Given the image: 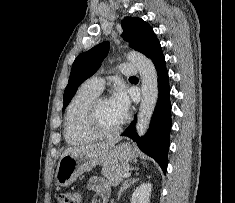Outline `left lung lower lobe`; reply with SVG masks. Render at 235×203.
I'll list each match as a JSON object with an SVG mask.
<instances>
[{
	"label": "left lung lower lobe",
	"mask_w": 235,
	"mask_h": 203,
	"mask_svg": "<svg viewBox=\"0 0 235 203\" xmlns=\"http://www.w3.org/2000/svg\"><path fill=\"white\" fill-rule=\"evenodd\" d=\"M157 70L159 98L156 104L147 134L139 138L135 121L131 122L122 136H127L137 142L138 147L160 165L163 172L167 170V151L169 148V132L171 129V103L168 72L161 45L157 41L147 54Z\"/></svg>",
	"instance_id": "obj_1"
}]
</instances>
